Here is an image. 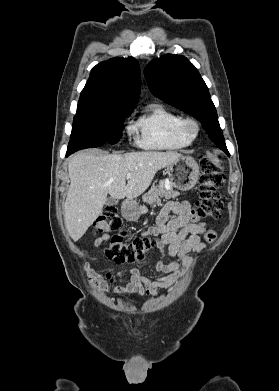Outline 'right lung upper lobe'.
<instances>
[{
    "instance_id": "1",
    "label": "right lung upper lobe",
    "mask_w": 279,
    "mask_h": 391,
    "mask_svg": "<svg viewBox=\"0 0 279 391\" xmlns=\"http://www.w3.org/2000/svg\"><path fill=\"white\" fill-rule=\"evenodd\" d=\"M140 66L133 57H115L96 65L81 92L77 112L133 109L140 94Z\"/></svg>"
}]
</instances>
